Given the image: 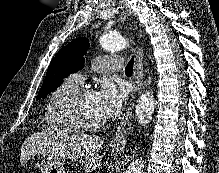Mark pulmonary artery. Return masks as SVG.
<instances>
[{
	"mask_svg": "<svg viewBox=\"0 0 219 173\" xmlns=\"http://www.w3.org/2000/svg\"><path fill=\"white\" fill-rule=\"evenodd\" d=\"M123 60L119 56L103 55L95 59L94 68L102 72L118 71L122 68ZM84 75L80 72L70 75L68 80L76 85H81L84 81Z\"/></svg>",
	"mask_w": 219,
	"mask_h": 173,
	"instance_id": "obj_1",
	"label": "pulmonary artery"
}]
</instances>
